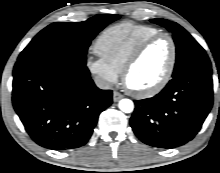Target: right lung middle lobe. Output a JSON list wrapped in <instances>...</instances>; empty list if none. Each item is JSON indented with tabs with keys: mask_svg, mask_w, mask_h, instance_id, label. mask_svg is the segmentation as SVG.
I'll list each match as a JSON object with an SVG mask.
<instances>
[{
	"mask_svg": "<svg viewBox=\"0 0 220 173\" xmlns=\"http://www.w3.org/2000/svg\"><path fill=\"white\" fill-rule=\"evenodd\" d=\"M119 15H98L84 22H56L39 32L20 53L18 60L60 53L86 64L91 40Z\"/></svg>",
	"mask_w": 220,
	"mask_h": 173,
	"instance_id": "1",
	"label": "right lung middle lobe"
}]
</instances>
